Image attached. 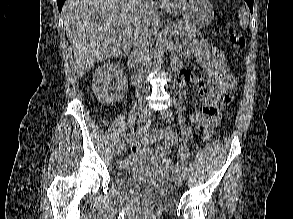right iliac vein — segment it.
<instances>
[{
  "label": "right iliac vein",
  "instance_id": "1",
  "mask_svg": "<svg viewBox=\"0 0 293 219\" xmlns=\"http://www.w3.org/2000/svg\"><path fill=\"white\" fill-rule=\"evenodd\" d=\"M152 115V109L149 106L144 107L142 110L140 116H139V122L144 123L145 121L149 120ZM124 147L123 145H118L114 151V156L118 157L121 155Z\"/></svg>",
  "mask_w": 293,
  "mask_h": 219
}]
</instances>
